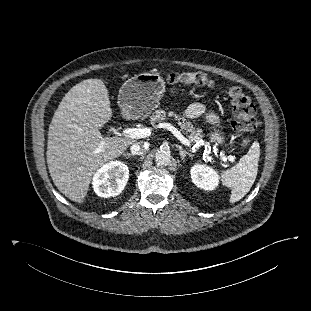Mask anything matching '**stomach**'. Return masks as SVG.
Wrapping results in <instances>:
<instances>
[{"label": "stomach", "mask_w": 311, "mask_h": 311, "mask_svg": "<svg viewBox=\"0 0 311 311\" xmlns=\"http://www.w3.org/2000/svg\"><path fill=\"white\" fill-rule=\"evenodd\" d=\"M165 92V82L157 73H141L128 79L120 88L118 105L122 113L131 118H145L159 106ZM206 122L210 124L209 139L216 146L226 144L221 128L220 117L210 112L206 114Z\"/></svg>", "instance_id": "0dacf381"}]
</instances>
